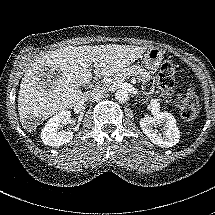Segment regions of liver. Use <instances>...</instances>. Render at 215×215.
I'll use <instances>...</instances> for the list:
<instances>
[{
    "label": "liver",
    "instance_id": "6515ba94",
    "mask_svg": "<svg viewBox=\"0 0 215 215\" xmlns=\"http://www.w3.org/2000/svg\"><path fill=\"white\" fill-rule=\"evenodd\" d=\"M146 49L117 44L65 46L36 58L20 83L18 113L23 129L32 132L49 117L80 102V87L92 80V67L97 77L109 76Z\"/></svg>",
    "mask_w": 215,
    "mask_h": 215
}]
</instances>
